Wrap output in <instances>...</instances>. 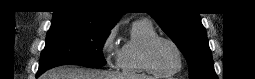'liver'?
Masks as SVG:
<instances>
[{
  "instance_id": "1",
  "label": "liver",
  "mask_w": 255,
  "mask_h": 79,
  "mask_svg": "<svg viewBox=\"0 0 255 79\" xmlns=\"http://www.w3.org/2000/svg\"><path fill=\"white\" fill-rule=\"evenodd\" d=\"M40 79H152L149 76H127L115 72L59 66L42 74Z\"/></svg>"
}]
</instances>
